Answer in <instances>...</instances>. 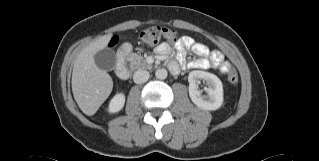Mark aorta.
<instances>
[{
    "instance_id": "obj_1",
    "label": "aorta",
    "mask_w": 319,
    "mask_h": 161,
    "mask_svg": "<svg viewBox=\"0 0 319 161\" xmlns=\"http://www.w3.org/2000/svg\"><path fill=\"white\" fill-rule=\"evenodd\" d=\"M167 75H168L167 70H166V69H163V68L158 69V70H156V72H155L156 78H158V79H160V80L166 79V78H167Z\"/></svg>"
}]
</instances>
